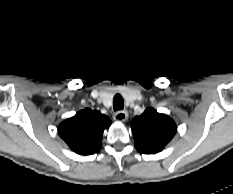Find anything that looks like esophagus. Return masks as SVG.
I'll return each instance as SVG.
<instances>
[{
  "mask_svg": "<svg viewBox=\"0 0 233 194\" xmlns=\"http://www.w3.org/2000/svg\"><path fill=\"white\" fill-rule=\"evenodd\" d=\"M113 117L116 121L124 122L128 118V113L127 111H118L114 114Z\"/></svg>",
  "mask_w": 233,
  "mask_h": 194,
  "instance_id": "esophagus-1",
  "label": "esophagus"
}]
</instances>
